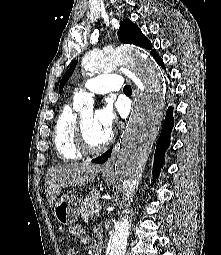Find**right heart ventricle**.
Wrapping results in <instances>:
<instances>
[{
	"label": "right heart ventricle",
	"instance_id": "e07e8e85",
	"mask_svg": "<svg viewBox=\"0 0 221 255\" xmlns=\"http://www.w3.org/2000/svg\"><path fill=\"white\" fill-rule=\"evenodd\" d=\"M77 122V113L72 106L67 105L60 111L54 125L55 150L59 158L65 162H76L84 156L77 146Z\"/></svg>",
	"mask_w": 221,
	"mask_h": 255
}]
</instances>
